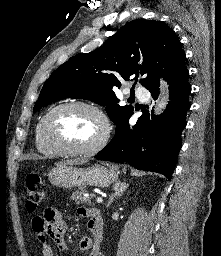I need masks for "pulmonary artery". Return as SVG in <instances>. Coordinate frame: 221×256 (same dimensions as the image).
<instances>
[{"label": "pulmonary artery", "mask_w": 221, "mask_h": 256, "mask_svg": "<svg viewBox=\"0 0 221 256\" xmlns=\"http://www.w3.org/2000/svg\"><path fill=\"white\" fill-rule=\"evenodd\" d=\"M135 93L136 96L140 99H147L149 97V92L143 87H138Z\"/></svg>", "instance_id": "1"}]
</instances>
